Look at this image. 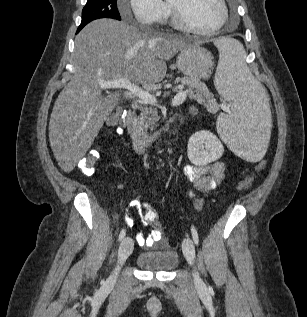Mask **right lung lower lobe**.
I'll return each instance as SVG.
<instances>
[{"instance_id":"obj_1","label":"right lung lower lobe","mask_w":307,"mask_h":317,"mask_svg":"<svg viewBox=\"0 0 307 317\" xmlns=\"http://www.w3.org/2000/svg\"><path fill=\"white\" fill-rule=\"evenodd\" d=\"M83 27L82 26H79L78 30H77V33L82 29Z\"/></svg>"}]
</instances>
